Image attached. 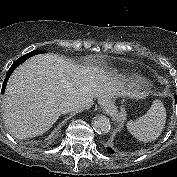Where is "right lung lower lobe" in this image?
I'll return each mask as SVG.
<instances>
[{
    "label": "right lung lower lobe",
    "mask_w": 177,
    "mask_h": 177,
    "mask_svg": "<svg viewBox=\"0 0 177 177\" xmlns=\"http://www.w3.org/2000/svg\"><path fill=\"white\" fill-rule=\"evenodd\" d=\"M43 53L42 51H37V50H34V51H31L27 54H25L24 56L20 57L19 59H17L13 64L12 66L10 67V69L8 70V73L6 74V78L3 82V85H2V93H4L5 91V87H6V84H7V80L9 79L10 75L12 74V72L16 69V67H18L21 63H23L24 61H26L28 58L34 56V55H37V54H41Z\"/></svg>",
    "instance_id": "right-lung-lower-lobe-1"
}]
</instances>
